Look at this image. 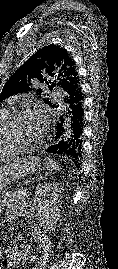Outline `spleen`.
<instances>
[{
    "mask_svg": "<svg viewBox=\"0 0 118 269\" xmlns=\"http://www.w3.org/2000/svg\"><path fill=\"white\" fill-rule=\"evenodd\" d=\"M46 167L48 171L58 170L59 164L56 163L52 158H47Z\"/></svg>",
    "mask_w": 118,
    "mask_h": 269,
    "instance_id": "obj_1",
    "label": "spleen"
}]
</instances>
